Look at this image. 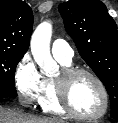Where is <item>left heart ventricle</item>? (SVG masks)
<instances>
[{"instance_id": "left-heart-ventricle-1", "label": "left heart ventricle", "mask_w": 118, "mask_h": 123, "mask_svg": "<svg viewBox=\"0 0 118 123\" xmlns=\"http://www.w3.org/2000/svg\"><path fill=\"white\" fill-rule=\"evenodd\" d=\"M69 95L73 107L83 115H97L103 109L102 92L88 76L75 79L71 84Z\"/></svg>"}]
</instances>
